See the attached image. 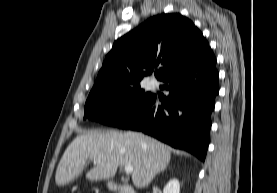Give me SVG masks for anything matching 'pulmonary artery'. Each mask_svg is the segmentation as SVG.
<instances>
[{"label":"pulmonary artery","mask_w":277,"mask_h":193,"mask_svg":"<svg viewBox=\"0 0 277 193\" xmlns=\"http://www.w3.org/2000/svg\"><path fill=\"white\" fill-rule=\"evenodd\" d=\"M147 88L148 89H154L155 88V84L150 82V83L147 84Z\"/></svg>","instance_id":"pulmonary-artery-1"}]
</instances>
